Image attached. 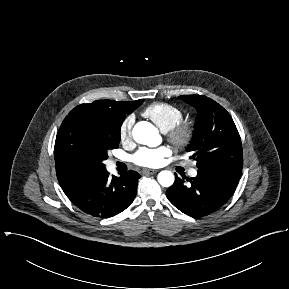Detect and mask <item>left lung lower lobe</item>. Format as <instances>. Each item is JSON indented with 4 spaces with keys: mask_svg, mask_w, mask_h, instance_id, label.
Masks as SVG:
<instances>
[{
    "mask_svg": "<svg viewBox=\"0 0 289 289\" xmlns=\"http://www.w3.org/2000/svg\"><path fill=\"white\" fill-rule=\"evenodd\" d=\"M184 179V177H183ZM176 178L166 191L169 201L191 217H203L221 208L233 195L240 176L219 169H198L197 176Z\"/></svg>",
    "mask_w": 289,
    "mask_h": 289,
    "instance_id": "1",
    "label": "left lung lower lobe"
}]
</instances>
